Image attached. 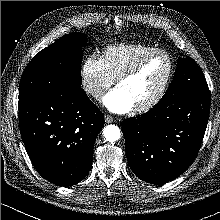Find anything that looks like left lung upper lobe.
Wrapping results in <instances>:
<instances>
[{"mask_svg":"<svg viewBox=\"0 0 220 220\" xmlns=\"http://www.w3.org/2000/svg\"><path fill=\"white\" fill-rule=\"evenodd\" d=\"M201 92L209 89L200 67L190 57L179 58L173 81L157 105Z\"/></svg>","mask_w":220,"mask_h":220,"instance_id":"obj_1","label":"left lung upper lobe"}]
</instances>
